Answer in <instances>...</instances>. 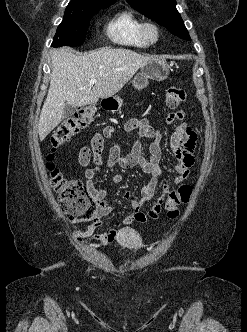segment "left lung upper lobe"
I'll return each instance as SVG.
<instances>
[{
    "instance_id": "5c2ea615",
    "label": "left lung upper lobe",
    "mask_w": 247,
    "mask_h": 332,
    "mask_svg": "<svg viewBox=\"0 0 247 332\" xmlns=\"http://www.w3.org/2000/svg\"><path fill=\"white\" fill-rule=\"evenodd\" d=\"M134 9L164 26L170 33L190 40L189 33L176 9V0H126Z\"/></svg>"
}]
</instances>
